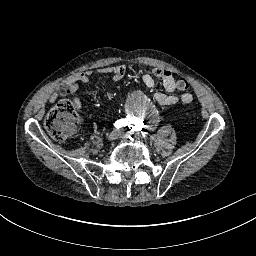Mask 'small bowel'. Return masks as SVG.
Here are the masks:
<instances>
[{"label":"small bowel","mask_w":256,"mask_h":256,"mask_svg":"<svg viewBox=\"0 0 256 256\" xmlns=\"http://www.w3.org/2000/svg\"><path fill=\"white\" fill-rule=\"evenodd\" d=\"M99 75H110L115 82H120L126 75V67L124 65H116L111 67H103L95 71ZM93 71H85L77 73L71 76L65 83L67 88V93L74 94L78 89L79 83H89L93 76ZM160 80L166 91L165 92H156L154 95L155 101L163 106H170L175 104L178 101V97L172 93L176 90L182 91L183 93L180 96V100L184 104H189L193 100V95L186 91L187 89H182L179 86L181 80L177 81L173 73L165 68L157 67L154 68L150 73H145L142 75L143 83L149 87L153 88L155 86L156 80ZM58 98V93L54 92L50 96V101L54 102ZM73 105L77 108L76 114L79 117V122H84L83 109L81 108L82 104L78 97L74 96L72 98Z\"/></svg>","instance_id":"obj_1"}]
</instances>
